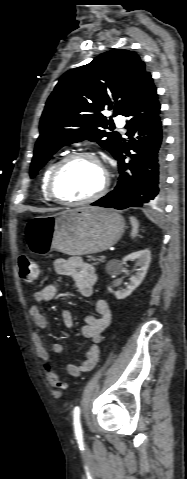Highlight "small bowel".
<instances>
[{"label": "small bowel", "instance_id": "1", "mask_svg": "<svg viewBox=\"0 0 187 479\" xmlns=\"http://www.w3.org/2000/svg\"><path fill=\"white\" fill-rule=\"evenodd\" d=\"M54 269L59 276L71 277L76 284L79 293L82 296H90L97 281V275L94 267L85 262L81 257L73 256L68 259H57L54 262ZM58 293V284L51 283L37 291L33 295V304L29 307V315L39 329L47 328V320L40 310L41 304L51 302ZM62 321L64 325L71 329L74 325L73 314L69 309L62 311ZM112 318V310L108 302L104 299H97L95 302V313L86 318L82 332L90 340L86 358L81 365L68 363L66 370L69 375L79 377L82 373L89 372L95 368L100 356V341L103 331L108 327ZM36 355L44 363L43 373L46 366L51 368L49 353L44 345V340L38 332L32 336ZM51 350L55 354H61L64 351V345L59 342L51 344Z\"/></svg>", "mask_w": 187, "mask_h": 479}]
</instances>
